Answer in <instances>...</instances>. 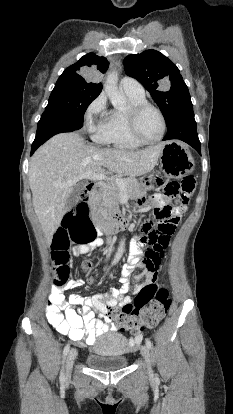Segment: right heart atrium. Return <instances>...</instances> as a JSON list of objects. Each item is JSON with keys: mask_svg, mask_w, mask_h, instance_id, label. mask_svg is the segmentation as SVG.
<instances>
[{"mask_svg": "<svg viewBox=\"0 0 233 414\" xmlns=\"http://www.w3.org/2000/svg\"><path fill=\"white\" fill-rule=\"evenodd\" d=\"M108 115L107 101L104 94L97 96L85 110V126L98 142L105 141L104 127Z\"/></svg>", "mask_w": 233, "mask_h": 414, "instance_id": "right-heart-atrium-1", "label": "right heart atrium"}]
</instances>
